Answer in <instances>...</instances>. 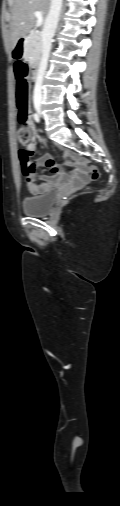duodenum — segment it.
<instances>
[{
    "label": "duodenum",
    "instance_id": "410a0bca",
    "mask_svg": "<svg viewBox=\"0 0 120 506\" xmlns=\"http://www.w3.org/2000/svg\"><path fill=\"white\" fill-rule=\"evenodd\" d=\"M26 41H27V36L26 35H23V36H21L19 38L18 45L15 46L14 53H13L15 58L20 59V58H23L25 56L26 53H25V47L24 46L26 44ZM38 76H39V63L35 62V63L32 64V77H33V80H37ZM67 152H71V151H67Z\"/></svg>",
    "mask_w": 120,
    "mask_h": 506
}]
</instances>
